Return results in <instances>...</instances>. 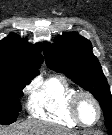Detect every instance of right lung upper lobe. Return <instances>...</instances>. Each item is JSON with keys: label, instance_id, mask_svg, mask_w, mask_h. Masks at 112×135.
Segmentation results:
<instances>
[{"label": "right lung upper lobe", "instance_id": "obj_1", "mask_svg": "<svg viewBox=\"0 0 112 135\" xmlns=\"http://www.w3.org/2000/svg\"><path fill=\"white\" fill-rule=\"evenodd\" d=\"M42 46L30 44L12 33L0 41V77L12 74L34 78L42 61Z\"/></svg>", "mask_w": 112, "mask_h": 135}]
</instances>
